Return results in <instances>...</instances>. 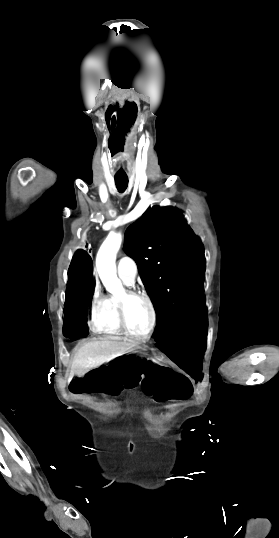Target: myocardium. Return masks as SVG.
<instances>
[{"label":"myocardium","instance_id":"obj_1","mask_svg":"<svg viewBox=\"0 0 279 538\" xmlns=\"http://www.w3.org/2000/svg\"><path fill=\"white\" fill-rule=\"evenodd\" d=\"M106 226L107 225H105V227ZM133 299L144 300L147 303L151 312L150 326L148 330L143 334H136L132 332L127 324L126 308H127L128 303ZM117 315H118L120 326L123 329L124 333L128 335L129 337L138 341H145L149 339L154 333L157 326V311H156L155 304L152 298L146 292H143L140 290H135V289H130V288L124 290V292L118 298Z\"/></svg>","mask_w":279,"mask_h":538}]
</instances>
